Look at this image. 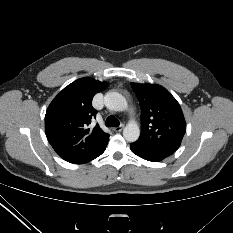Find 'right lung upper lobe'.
<instances>
[{
	"mask_svg": "<svg viewBox=\"0 0 233 233\" xmlns=\"http://www.w3.org/2000/svg\"><path fill=\"white\" fill-rule=\"evenodd\" d=\"M106 87L107 82L80 78L64 88L49 105L45 115L46 136L64 160L77 164L109 140V135L98 125L88 128L96 116L92 99Z\"/></svg>",
	"mask_w": 233,
	"mask_h": 233,
	"instance_id": "right-lung-upper-lobe-1",
	"label": "right lung upper lobe"
}]
</instances>
